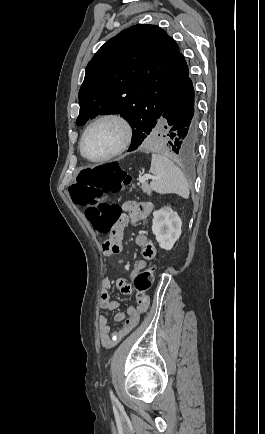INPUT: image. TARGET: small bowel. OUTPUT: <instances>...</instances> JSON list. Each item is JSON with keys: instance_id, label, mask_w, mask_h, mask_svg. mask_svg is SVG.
I'll return each instance as SVG.
<instances>
[{"instance_id": "obj_1", "label": "small bowel", "mask_w": 265, "mask_h": 434, "mask_svg": "<svg viewBox=\"0 0 265 434\" xmlns=\"http://www.w3.org/2000/svg\"><path fill=\"white\" fill-rule=\"evenodd\" d=\"M152 210L153 206L148 202L127 201L124 204V214L122 218L111 231L109 238L104 241L102 245V252L105 259L117 255L122 251V235L125 226L129 222L135 225H141L150 216ZM135 244L141 250L142 259L135 262L134 270L130 276L131 280H134L135 275L146 268L147 261L152 260L156 256V248L146 234L137 235ZM114 283L116 288L123 295L132 294V287L125 278L118 277ZM112 285L113 283L108 277H103L101 281L99 305L101 309L106 311H114L119 307V302L112 299L110 294ZM143 307H146V304H143ZM141 314H138V309L135 306L128 307L126 312H117L113 319L115 322L122 324L114 332H111L108 317L103 314L99 315L98 330L101 346L105 349L113 348L135 326L133 325L131 328H126L123 326L124 321L131 316H136L139 321ZM122 329H125V332H122Z\"/></svg>"}]
</instances>
